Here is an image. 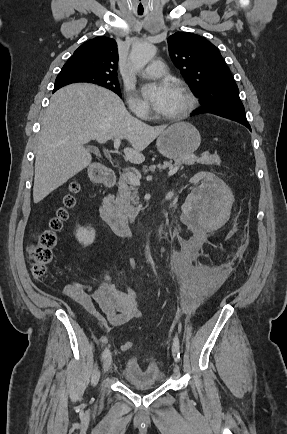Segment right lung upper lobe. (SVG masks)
<instances>
[{"instance_id": "right-lung-upper-lobe-1", "label": "right lung upper lobe", "mask_w": 287, "mask_h": 434, "mask_svg": "<svg viewBox=\"0 0 287 434\" xmlns=\"http://www.w3.org/2000/svg\"><path fill=\"white\" fill-rule=\"evenodd\" d=\"M118 49L114 39L98 36L82 44L68 59L63 68L117 76ZM61 88L55 86L53 92Z\"/></svg>"}]
</instances>
